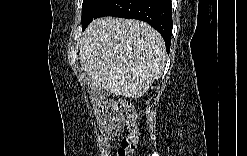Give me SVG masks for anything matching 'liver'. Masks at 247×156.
<instances>
[{"mask_svg": "<svg viewBox=\"0 0 247 156\" xmlns=\"http://www.w3.org/2000/svg\"><path fill=\"white\" fill-rule=\"evenodd\" d=\"M79 50L93 87L133 99L162 75L167 56L163 38L150 25L114 17L93 20Z\"/></svg>", "mask_w": 247, "mask_h": 156, "instance_id": "6515ba94", "label": "liver"}]
</instances>
